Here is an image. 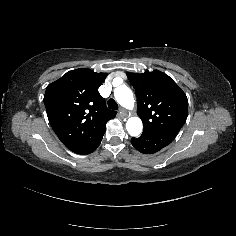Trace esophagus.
<instances>
[{"label":"esophagus","mask_w":236,"mask_h":236,"mask_svg":"<svg viewBox=\"0 0 236 236\" xmlns=\"http://www.w3.org/2000/svg\"><path fill=\"white\" fill-rule=\"evenodd\" d=\"M120 114L122 115V117H127L128 116V112L123 108L120 109Z\"/></svg>","instance_id":"34e87169"}]
</instances>
